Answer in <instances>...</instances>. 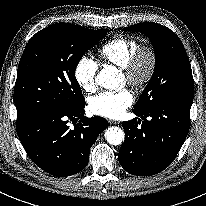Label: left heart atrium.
I'll use <instances>...</instances> for the list:
<instances>
[{"label":"left heart atrium","instance_id":"1","mask_svg":"<svg viewBox=\"0 0 206 206\" xmlns=\"http://www.w3.org/2000/svg\"><path fill=\"white\" fill-rule=\"evenodd\" d=\"M134 101L133 94L123 89L118 92H105L91 98L89 110L92 114L108 119H118Z\"/></svg>","mask_w":206,"mask_h":206}]
</instances>
